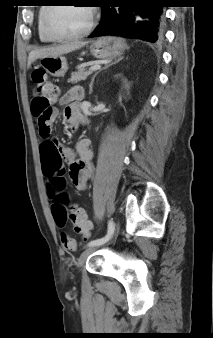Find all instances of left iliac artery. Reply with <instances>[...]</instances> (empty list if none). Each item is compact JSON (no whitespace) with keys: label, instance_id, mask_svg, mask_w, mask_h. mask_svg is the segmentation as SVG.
I'll list each match as a JSON object with an SVG mask.
<instances>
[{"label":"left iliac artery","instance_id":"obj_1","mask_svg":"<svg viewBox=\"0 0 213 338\" xmlns=\"http://www.w3.org/2000/svg\"><path fill=\"white\" fill-rule=\"evenodd\" d=\"M114 230H115V224H114L113 220L111 219L108 222L107 234L102 238L90 241L87 244V247H91V246H94V245H102V244L106 243L107 241H109L111 239V237L114 233Z\"/></svg>","mask_w":213,"mask_h":338}]
</instances>
